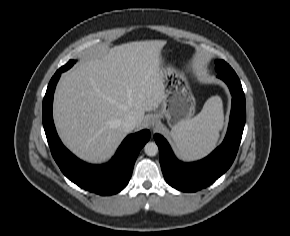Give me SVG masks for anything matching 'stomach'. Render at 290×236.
Returning <instances> with one entry per match:
<instances>
[{"label": "stomach", "mask_w": 290, "mask_h": 236, "mask_svg": "<svg viewBox=\"0 0 290 236\" xmlns=\"http://www.w3.org/2000/svg\"><path fill=\"white\" fill-rule=\"evenodd\" d=\"M160 75L164 98L156 115L159 118L164 116L168 124L174 127L193 116L195 98L184 73L171 66L162 65Z\"/></svg>", "instance_id": "obj_1"}]
</instances>
